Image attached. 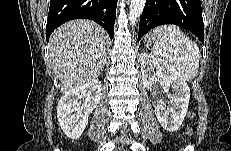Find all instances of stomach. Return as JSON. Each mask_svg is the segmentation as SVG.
<instances>
[{"label":"stomach","instance_id":"obj_1","mask_svg":"<svg viewBox=\"0 0 231 151\" xmlns=\"http://www.w3.org/2000/svg\"><path fill=\"white\" fill-rule=\"evenodd\" d=\"M155 42H156L155 36L153 35V33H149L145 40L146 45L153 46Z\"/></svg>","mask_w":231,"mask_h":151}]
</instances>
